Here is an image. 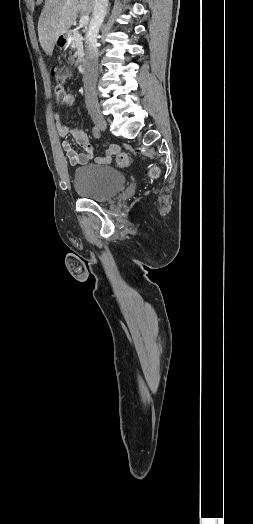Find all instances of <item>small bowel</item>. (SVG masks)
I'll return each mask as SVG.
<instances>
[{
  "instance_id": "1",
  "label": "small bowel",
  "mask_w": 253,
  "mask_h": 524,
  "mask_svg": "<svg viewBox=\"0 0 253 524\" xmlns=\"http://www.w3.org/2000/svg\"><path fill=\"white\" fill-rule=\"evenodd\" d=\"M55 95L57 98V101L61 105L69 106L74 103V96L70 93H67L64 88L61 90L55 89ZM55 125L57 129V133L59 137L61 138H68V134H71L73 139L76 141L78 145H80L84 149V153H78L73 147L72 144L67 141H62V149L66 154V157L68 158L71 165L79 166V165H85L89 161L93 160L94 163L98 165H108L110 164L112 157L120 152V147L117 144H111L105 151L104 154L93 157L92 154V146L89 141V137L87 133L80 129V128H68L63 121L60 119V116L58 113L55 114Z\"/></svg>"
}]
</instances>
